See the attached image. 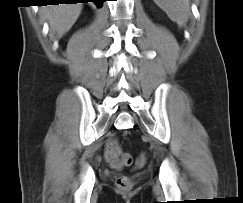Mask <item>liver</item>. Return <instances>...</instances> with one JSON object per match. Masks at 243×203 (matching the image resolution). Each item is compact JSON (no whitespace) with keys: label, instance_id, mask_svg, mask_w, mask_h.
Masks as SVG:
<instances>
[{"label":"liver","instance_id":"obj_1","mask_svg":"<svg viewBox=\"0 0 243 203\" xmlns=\"http://www.w3.org/2000/svg\"><path fill=\"white\" fill-rule=\"evenodd\" d=\"M82 10L81 3L50 5L41 8V16L49 21L51 29L62 36L67 33L78 19Z\"/></svg>","mask_w":243,"mask_h":203}]
</instances>
